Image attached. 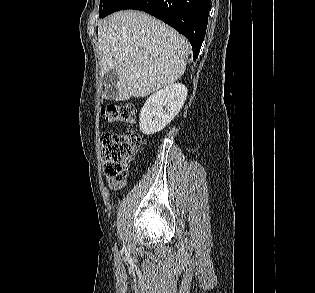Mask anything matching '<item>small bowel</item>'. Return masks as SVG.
Segmentation results:
<instances>
[{"label":"small bowel","mask_w":315,"mask_h":293,"mask_svg":"<svg viewBox=\"0 0 315 293\" xmlns=\"http://www.w3.org/2000/svg\"><path fill=\"white\" fill-rule=\"evenodd\" d=\"M122 184L121 183H110V188L112 190H119L121 188Z\"/></svg>","instance_id":"small-bowel-1"}]
</instances>
